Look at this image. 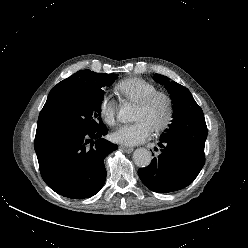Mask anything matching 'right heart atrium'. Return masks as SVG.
Segmentation results:
<instances>
[{
    "label": "right heart atrium",
    "mask_w": 248,
    "mask_h": 248,
    "mask_svg": "<svg viewBox=\"0 0 248 248\" xmlns=\"http://www.w3.org/2000/svg\"><path fill=\"white\" fill-rule=\"evenodd\" d=\"M117 108V102L112 96L108 94L102 96L99 103V114L107 125L116 124Z\"/></svg>",
    "instance_id": "1"
}]
</instances>
